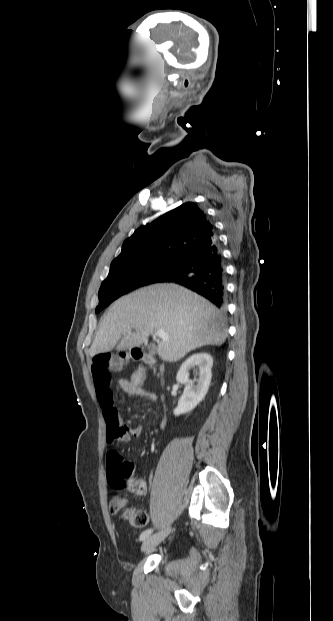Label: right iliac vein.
Returning a JSON list of instances; mask_svg holds the SVG:
<instances>
[{
    "label": "right iliac vein",
    "mask_w": 333,
    "mask_h": 621,
    "mask_svg": "<svg viewBox=\"0 0 333 621\" xmlns=\"http://www.w3.org/2000/svg\"><path fill=\"white\" fill-rule=\"evenodd\" d=\"M170 528H166L158 533L148 536L142 543L141 550L149 551L159 545L169 534Z\"/></svg>",
    "instance_id": "right-iliac-vein-1"
}]
</instances>
